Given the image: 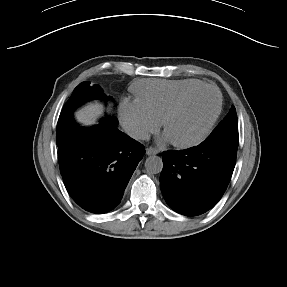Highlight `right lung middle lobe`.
Instances as JSON below:
<instances>
[{"label": "right lung middle lobe", "instance_id": "1", "mask_svg": "<svg viewBox=\"0 0 287 287\" xmlns=\"http://www.w3.org/2000/svg\"><path fill=\"white\" fill-rule=\"evenodd\" d=\"M92 99H103L104 101L111 100L107 97L101 87L98 85H91L90 82L80 83L73 91L71 97L64 105L59 116L57 124L56 141L59 148L64 147L71 140V133L78 128L73 120V111L86 101ZM102 122L110 125H117L118 121L115 118L106 116Z\"/></svg>", "mask_w": 287, "mask_h": 287}]
</instances>
